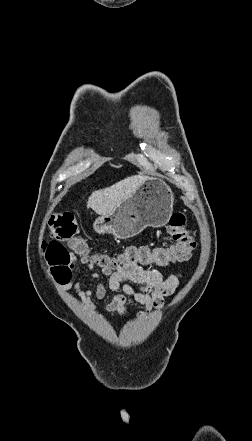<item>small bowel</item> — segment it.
<instances>
[{"label":"small bowel","mask_w":252,"mask_h":441,"mask_svg":"<svg viewBox=\"0 0 252 441\" xmlns=\"http://www.w3.org/2000/svg\"><path fill=\"white\" fill-rule=\"evenodd\" d=\"M86 265L90 270L97 265L88 256H72L70 273L68 277L59 281L64 288L74 287L82 300L86 301L91 307L90 299H103L108 290L115 293L111 302L106 305V310L115 315L127 317L129 312L126 309L127 299L130 297L137 303L144 305L147 311L160 308L164 298L174 293L179 283V275L171 274L167 277L162 272L155 269H144L142 266L130 264L126 266L102 267V273L107 279L105 284L100 276L92 274L93 289L82 290L80 283L72 282L74 263ZM135 285L136 287H134ZM144 312L137 315L142 316Z\"/></svg>","instance_id":"1"}]
</instances>
